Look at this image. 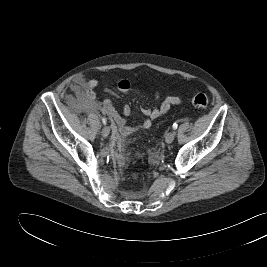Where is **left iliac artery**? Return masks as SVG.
Listing matches in <instances>:
<instances>
[{"label":"left iliac artery","instance_id":"left-iliac-artery-1","mask_svg":"<svg viewBox=\"0 0 267 267\" xmlns=\"http://www.w3.org/2000/svg\"><path fill=\"white\" fill-rule=\"evenodd\" d=\"M177 127H178V124L177 123H174L173 126H172L173 130H176Z\"/></svg>","mask_w":267,"mask_h":267}]
</instances>
